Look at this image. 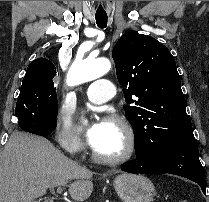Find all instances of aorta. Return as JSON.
Masks as SVG:
<instances>
[{"mask_svg":"<svg viewBox=\"0 0 209 202\" xmlns=\"http://www.w3.org/2000/svg\"><path fill=\"white\" fill-rule=\"evenodd\" d=\"M111 69V62L107 58L82 59L77 57L72 64L67 82L71 86L97 79Z\"/></svg>","mask_w":209,"mask_h":202,"instance_id":"762f6f07","label":"aorta"}]
</instances>
